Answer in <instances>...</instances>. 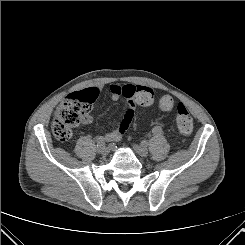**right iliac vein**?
Instances as JSON below:
<instances>
[{
	"instance_id": "right-iliac-vein-1",
	"label": "right iliac vein",
	"mask_w": 245,
	"mask_h": 245,
	"mask_svg": "<svg viewBox=\"0 0 245 245\" xmlns=\"http://www.w3.org/2000/svg\"><path fill=\"white\" fill-rule=\"evenodd\" d=\"M108 153H109V149H108V151H103L102 149L100 150V154H101L102 156H107Z\"/></svg>"
}]
</instances>
